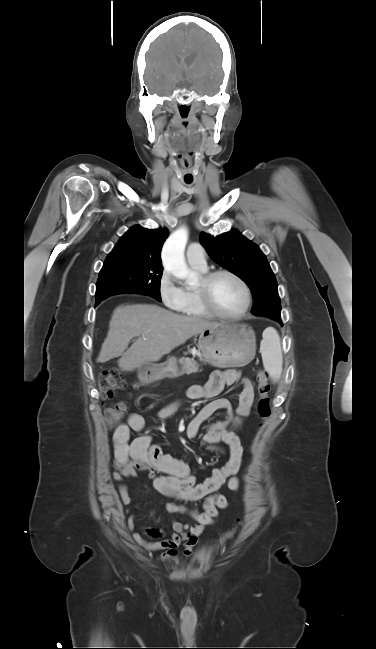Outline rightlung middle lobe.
<instances>
[{"label": "right lung middle lobe", "instance_id": "dd1d6c3e", "mask_svg": "<svg viewBox=\"0 0 376 649\" xmlns=\"http://www.w3.org/2000/svg\"><path fill=\"white\" fill-rule=\"evenodd\" d=\"M163 269L145 259L129 255L107 256L96 284V306L106 297L138 293L161 301L160 280Z\"/></svg>", "mask_w": 376, "mask_h": 649}]
</instances>
